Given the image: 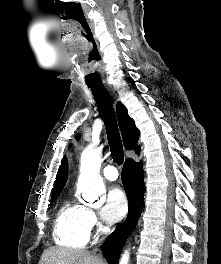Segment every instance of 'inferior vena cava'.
<instances>
[{
    "instance_id": "1",
    "label": "inferior vena cava",
    "mask_w": 221,
    "mask_h": 264,
    "mask_svg": "<svg viewBox=\"0 0 221 264\" xmlns=\"http://www.w3.org/2000/svg\"><path fill=\"white\" fill-rule=\"evenodd\" d=\"M103 240V238L101 239V241ZM98 251V248H95L94 250H93V252L94 253H96Z\"/></svg>"
}]
</instances>
